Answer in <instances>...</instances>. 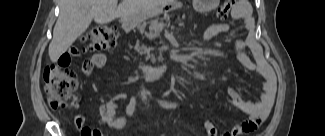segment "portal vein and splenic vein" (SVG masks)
Wrapping results in <instances>:
<instances>
[{
	"instance_id": "18ae733b",
	"label": "portal vein and splenic vein",
	"mask_w": 325,
	"mask_h": 136,
	"mask_svg": "<svg viewBox=\"0 0 325 136\" xmlns=\"http://www.w3.org/2000/svg\"><path fill=\"white\" fill-rule=\"evenodd\" d=\"M159 25H160V26H163V25H164V23H160Z\"/></svg>"
}]
</instances>
